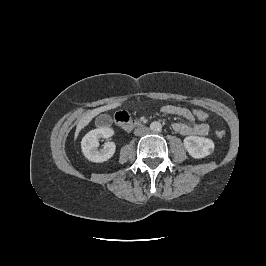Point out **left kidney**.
<instances>
[{"label":"left kidney","mask_w":266,"mask_h":266,"mask_svg":"<svg viewBox=\"0 0 266 266\" xmlns=\"http://www.w3.org/2000/svg\"><path fill=\"white\" fill-rule=\"evenodd\" d=\"M184 146L189 155L193 158L200 159L211 154L214 150V142L205 137L188 136L184 139Z\"/></svg>","instance_id":"left-kidney-1"}]
</instances>
